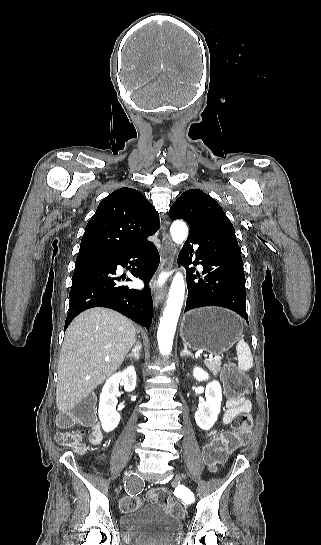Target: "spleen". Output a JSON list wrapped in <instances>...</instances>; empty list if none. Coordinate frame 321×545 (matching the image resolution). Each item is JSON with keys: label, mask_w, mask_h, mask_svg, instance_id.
Instances as JSON below:
<instances>
[{"label": "spleen", "mask_w": 321, "mask_h": 545, "mask_svg": "<svg viewBox=\"0 0 321 545\" xmlns=\"http://www.w3.org/2000/svg\"><path fill=\"white\" fill-rule=\"evenodd\" d=\"M238 357V367L240 371H249L253 367V357L250 347L245 343L244 339H240L236 347Z\"/></svg>", "instance_id": "spleen-1"}]
</instances>
